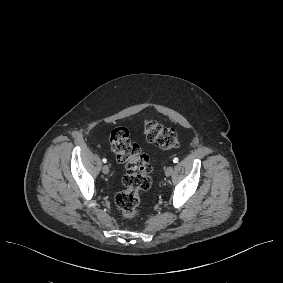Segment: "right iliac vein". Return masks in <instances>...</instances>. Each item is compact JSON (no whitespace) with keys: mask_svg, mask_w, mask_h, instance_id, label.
<instances>
[{"mask_svg":"<svg viewBox=\"0 0 283 283\" xmlns=\"http://www.w3.org/2000/svg\"><path fill=\"white\" fill-rule=\"evenodd\" d=\"M102 172H103L104 174H108V173H109V167H108L107 165H104V166L102 167Z\"/></svg>","mask_w":283,"mask_h":283,"instance_id":"right-iliac-vein-1","label":"right iliac vein"}]
</instances>
